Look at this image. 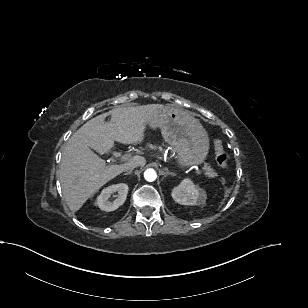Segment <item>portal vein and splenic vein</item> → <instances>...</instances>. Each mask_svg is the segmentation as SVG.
<instances>
[{"label": "portal vein and splenic vein", "instance_id": "obj_1", "mask_svg": "<svg viewBox=\"0 0 308 308\" xmlns=\"http://www.w3.org/2000/svg\"><path fill=\"white\" fill-rule=\"evenodd\" d=\"M136 158H137V156H131V155H128V154L122 155V156L120 157V159H121L122 161H126V160L135 161ZM194 169L196 170V173L201 174V171L198 170V167H194Z\"/></svg>", "mask_w": 308, "mask_h": 308}]
</instances>
